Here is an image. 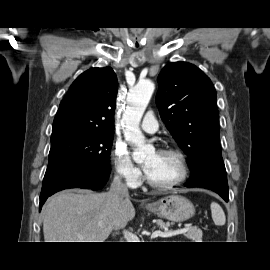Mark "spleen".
<instances>
[{"label":"spleen","instance_id":"1","mask_svg":"<svg viewBox=\"0 0 270 270\" xmlns=\"http://www.w3.org/2000/svg\"><path fill=\"white\" fill-rule=\"evenodd\" d=\"M211 213L212 219L217 226H223L226 222V217L223 209L220 207L218 203H211Z\"/></svg>","mask_w":270,"mask_h":270}]
</instances>
